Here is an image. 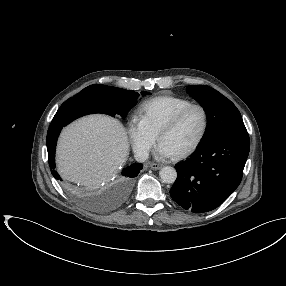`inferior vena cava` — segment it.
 Returning <instances> with one entry per match:
<instances>
[{
  "label": "inferior vena cava",
  "instance_id": "obj_1",
  "mask_svg": "<svg viewBox=\"0 0 286 286\" xmlns=\"http://www.w3.org/2000/svg\"><path fill=\"white\" fill-rule=\"evenodd\" d=\"M136 161L144 162L148 159L149 153L146 150H137L134 155Z\"/></svg>",
  "mask_w": 286,
  "mask_h": 286
}]
</instances>
